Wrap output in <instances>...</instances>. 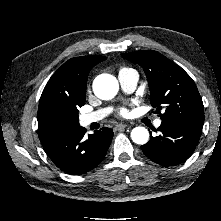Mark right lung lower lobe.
<instances>
[{
	"label": "right lung lower lobe",
	"instance_id": "obj_1",
	"mask_svg": "<svg viewBox=\"0 0 221 221\" xmlns=\"http://www.w3.org/2000/svg\"><path fill=\"white\" fill-rule=\"evenodd\" d=\"M112 137L113 131L106 127L86 137L85 128L80 126L44 149L58 168L71 175H81L103 160Z\"/></svg>",
	"mask_w": 221,
	"mask_h": 221
}]
</instances>
